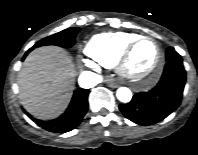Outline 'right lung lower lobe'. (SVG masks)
<instances>
[{
    "label": "right lung lower lobe",
    "mask_w": 198,
    "mask_h": 155,
    "mask_svg": "<svg viewBox=\"0 0 198 155\" xmlns=\"http://www.w3.org/2000/svg\"><path fill=\"white\" fill-rule=\"evenodd\" d=\"M31 50L27 51L26 55ZM88 94L89 90H76L74 92L71 103L64 114H62L58 119L51 121H42L33 118L31 115L26 113L37 125L43 129L54 132V133H64L71 131L77 127L82 121L84 115L88 109Z\"/></svg>",
    "instance_id": "obj_1"
}]
</instances>
